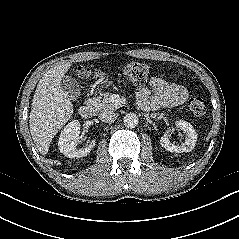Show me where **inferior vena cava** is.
Returning a JSON list of instances; mask_svg holds the SVG:
<instances>
[{"instance_id":"602c4592","label":"inferior vena cava","mask_w":239,"mask_h":239,"mask_svg":"<svg viewBox=\"0 0 239 239\" xmlns=\"http://www.w3.org/2000/svg\"><path fill=\"white\" fill-rule=\"evenodd\" d=\"M118 115L113 112H104L99 116V119L105 123H112L117 119Z\"/></svg>"}]
</instances>
